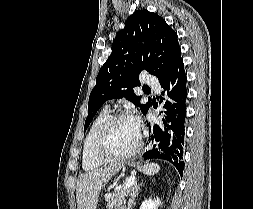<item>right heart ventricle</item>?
<instances>
[{
	"mask_svg": "<svg viewBox=\"0 0 253 209\" xmlns=\"http://www.w3.org/2000/svg\"><path fill=\"white\" fill-rule=\"evenodd\" d=\"M109 110L107 108L102 109L96 118L93 120L83 142L82 151V166L85 170H94L99 168L103 162L98 160L93 152L95 139L97 133L103 124V122L108 118Z\"/></svg>",
	"mask_w": 253,
	"mask_h": 209,
	"instance_id": "right-heart-ventricle-1",
	"label": "right heart ventricle"
}]
</instances>
